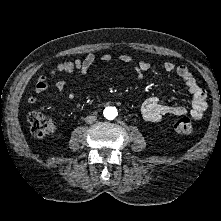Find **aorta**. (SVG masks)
Instances as JSON below:
<instances>
[{
  "label": "aorta",
  "instance_id": "1",
  "mask_svg": "<svg viewBox=\"0 0 221 221\" xmlns=\"http://www.w3.org/2000/svg\"><path fill=\"white\" fill-rule=\"evenodd\" d=\"M118 111L115 107H106L104 109V117L108 120H113L117 117Z\"/></svg>",
  "mask_w": 221,
  "mask_h": 221
}]
</instances>
